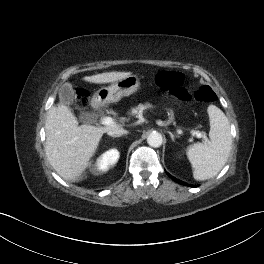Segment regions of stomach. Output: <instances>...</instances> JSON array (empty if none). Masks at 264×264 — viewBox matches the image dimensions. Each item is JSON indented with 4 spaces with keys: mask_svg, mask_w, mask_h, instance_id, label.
<instances>
[{
    "mask_svg": "<svg viewBox=\"0 0 264 264\" xmlns=\"http://www.w3.org/2000/svg\"><path fill=\"white\" fill-rule=\"evenodd\" d=\"M140 87V80L136 75H129L120 79L108 87L99 89L93 96L96 105H104L120 101L124 96L137 92Z\"/></svg>",
    "mask_w": 264,
    "mask_h": 264,
    "instance_id": "1",
    "label": "stomach"
}]
</instances>
